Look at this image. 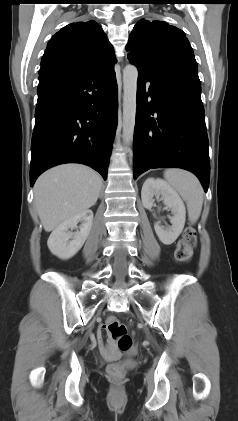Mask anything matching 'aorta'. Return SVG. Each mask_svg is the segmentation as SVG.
<instances>
[{"instance_id": "1", "label": "aorta", "mask_w": 238, "mask_h": 421, "mask_svg": "<svg viewBox=\"0 0 238 421\" xmlns=\"http://www.w3.org/2000/svg\"><path fill=\"white\" fill-rule=\"evenodd\" d=\"M138 70L127 65L123 70V139L126 146L133 141L136 119Z\"/></svg>"}]
</instances>
